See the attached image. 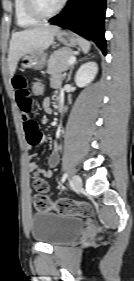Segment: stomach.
I'll return each instance as SVG.
<instances>
[{"label": "stomach", "mask_w": 134, "mask_h": 281, "mask_svg": "<svg viewBox=\"0 0 134 281\" xmlns=\"http://www.w3.org/2000/svg\"><path fill=\"white\" fill-rule=\"evenodd\" d=\"M57 40L67 47H75L79 44V37L69 31H58ZM46 64L45 53H29L21 57V66L34 70L42 69Z\"/></svg>", "instance_id": "1"}]
</instances>
